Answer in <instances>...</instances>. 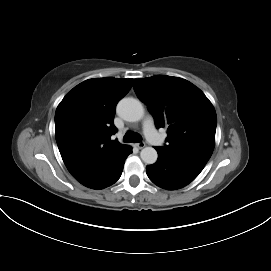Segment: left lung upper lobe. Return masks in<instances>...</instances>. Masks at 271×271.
<instances>
[{
    "mask_svg": "<svg viewBox=\"0 0 271 271\" xmlns=\"http://www.w3.org/2000/svg\"><path fill=\"white\" fill-rule=\"evenodd\" d=\"M133 87L157 128H167L168 144L160 148L207 163L215 145L217 117L204 93L185 79L166 75L134 79Z\"/></svg>",
    "mask_w": 271,
    "mask_h": 271,
    "instance_id": "obj_1",
    "label": "left lung upper lobe"
}]
</instances>
